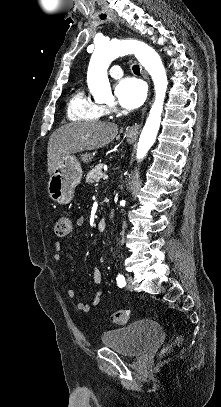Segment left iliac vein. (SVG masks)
<instances>
[{
	"instance_id": "4c4485c4",
	"label": "left iliac vein",
	"mask_w": 221,
	"mask_h": 407,
	"mask_svg": "<svg viewBox=\"0 0 221 407\" xmlns=\"http://www.w3.org/2000/svg\"><path fill=\"white\" fill-rule=\"evenodd\" d=\"M126 281H127L126 288H127L129 291H133V289H134V286H133V284H132L133 277H132V276H128Z\"/></svg>"
}]
</instances>
